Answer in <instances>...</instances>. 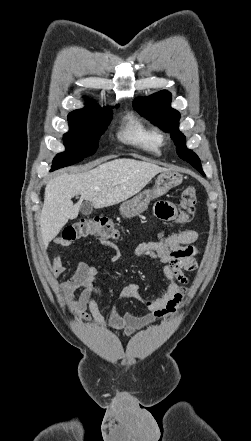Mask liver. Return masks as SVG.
<instances>
[{"mask_svg":"<svg viewBox=\"0 0 251 441\" xmlns=\"http://www.w3.org/2000/svg\"><path fill=\"white\" fill-rule=\"evenodd\" d=\"M166 170L154 163L120 158L84 173H64L50 180L40 215L45 248L69 220L78 216L83 200L96 209L113 206L140 192L156 174ZM75 195L81 198L73 204L71 199Z\"/></svg>","mask_w":251,"mask_h":441,"instance_id":"obj_1","label":"liver"}]
</instances>
